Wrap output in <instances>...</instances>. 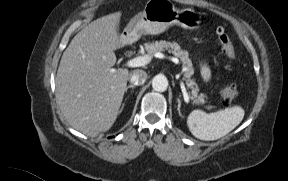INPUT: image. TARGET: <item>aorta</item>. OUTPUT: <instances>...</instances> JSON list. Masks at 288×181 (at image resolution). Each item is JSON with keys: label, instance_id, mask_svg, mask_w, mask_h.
Here are the masks:
<instances>
[{"label": "aorta", "instance_id": "obj_1", "mask_svg": "<svg viewBox=\"0 0 288 181\" xmlns=\"http://www.w3.org/2000/svg\"><path fill=\"white\" fill-rule=\"evenodd\" d=\"M152 87L157 92H164L168 87L167 78L162 74L154 76L152 79Z\"/></svg>", "mask_w": 288, "mask_h": 181}]
</instances>
